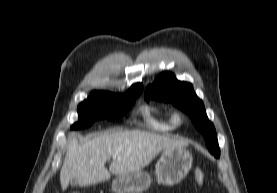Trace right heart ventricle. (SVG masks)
I'll return each mask as SVG.
<instances>
[{"label": "right heart ventricle", "mask_w": 277, "mask_h": 193, "mask_svg": "<svg viewBox=\"0 0 277 193\" xmlns=\"http://www.w3.org/2000/svg\"><path fill=\"white\" fill-rule=\"evenodd\" d=\"M144 126L153 132L166 133L176 129L171 112L156 105H144L140 109Z\"/></svg>", "instance_id": "e07e8e85"}]
</instances>
